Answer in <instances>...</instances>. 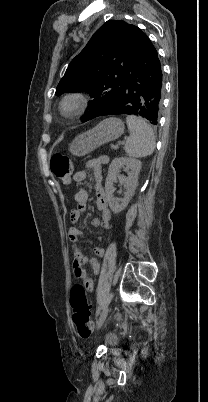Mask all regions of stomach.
Here are the masks:
<instances>
[{
	"instance_id": "obj_1",
	"label": "stomach",
	"mask_w": 208,
	"mask_h": 402,
	"mask_svg": "<svg viewBox=\"0 0 208 402\" xmlns=\"http://www.w3.org/2000/svg\"><path fill=\"white\" fill-rule=\"evenodd\" d=\"M124 128L125 126L119 118H107V120H103L98 126H95L93 130H88V132L77 136L70 144L69 152L73 156H86V154H90V152L102 146V144H107V142L120 138Z\"/></svg>"
}]
</instances>
